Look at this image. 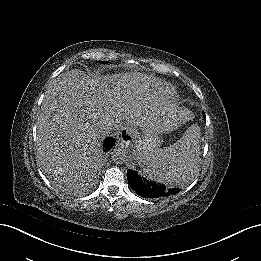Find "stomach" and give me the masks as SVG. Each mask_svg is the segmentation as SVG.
I'll return each instance as SVG.
<instances>
[{"label":"stomach","mask_w":261,"mask_h":261,"mask_svg":"<svg viewBox=\"0 0 261 261\" xmlns=\"http://www.w3.org/2000/svg\"><path fill=\"white\" fill-rule=\"evenodd\" d=\"M159 118L151 120L146 129H142V135H137L134 140L135 157L140 162L145 154L157 148L160 139L157 135L155 128L159 125Z\"/></svg>","instance_id":"0dacf381"}]
</instances>
